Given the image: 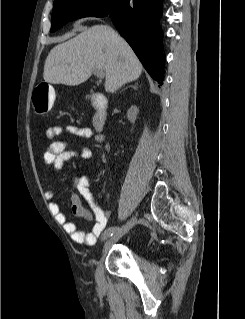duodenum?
<instances>
[{
  "label": "duodenum",
  "instance_id": "1",
  "mask_svg": "<svg viewBox=\"0 0 245 319\" xmlns=\"http://www.w3.org/2000/svg\"><path fill=\"white\" fill-rule=\"evenodd\" d=\"M91 104L94 108V115L92 117V125L96 132L98 133L97 139L99 141L103 140V131L106 125V117H107V107L108 102L104 95L100 93H95L92 95Z\"/></svg>",
  "mask_w": 245,
  "mask_h": 319
}]
</instances>
